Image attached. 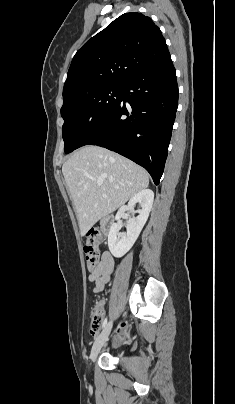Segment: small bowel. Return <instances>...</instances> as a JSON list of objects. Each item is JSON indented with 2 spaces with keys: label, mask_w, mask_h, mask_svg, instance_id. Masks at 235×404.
I'll return each mask as SVG.
<instances>
[{
  "label": "small bowel",
  "mask_w": 235,
  "mask_h": 404,
  "mask_svg": "<svg viewBox=\"0 0 235 404\" xmlns=\"http://www.w3.org/2000/svg\"><path fill=\"white\" fill-rule=\"evenodd\" d=\"M114 269V259L110 252L105 251L102 253L98 265L91 270L88 279L95 283L93 288L94 293L101 292L104 289L105 284L109 281L110 275ZM98 305H103L102 302H98ZM126 323H122L117 328V332H122L126 328ZM98 329H93L91 333L96 335Z\"/></svg>",
  "instance_id": "c3829d8e"
}]
</instances>
